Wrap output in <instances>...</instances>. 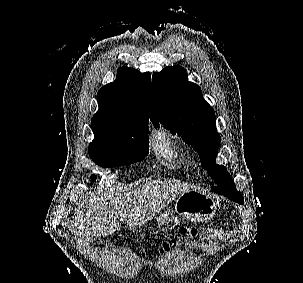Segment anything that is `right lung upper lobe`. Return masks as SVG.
Here are the masks:
<instances>
[{"instance_id":"cb5924a9","label":"right lung upper lobe","mask_w":303,"mask_h":283,"mask_svg":"<svg viewBox=\"0 0 303 283\" xmlns=\"http://www.w3.org/2000/svg\"><path fill=\"white\" fill-rule=\"evenodd\" d=\"M150 74L129 67L117 71L116 80L98 92L99 109L91 120L93 131L120 129L149 123Z\"/></svg>"}]
</instances>
